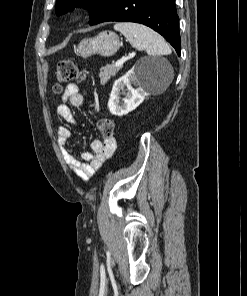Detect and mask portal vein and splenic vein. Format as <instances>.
<instances>
[{"instance_id":"18ae733b","label":"portal vein and splenic vein","mask_w":247,"mask_h":296,"mask_svg":"<svg viewBox=\"0 0 247 296\" xmlns=\"http://www.w3.org/2000/svg\"><path fill=\"white\" fill-rule=\"evenodd\" d=\"M128 59H130L129 56L125 57H121L120 59H118L115 63V66H122Z\"/></svg>"}]
</instances>
